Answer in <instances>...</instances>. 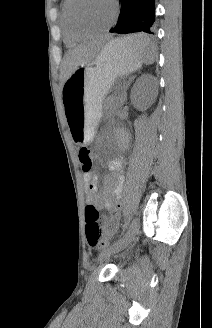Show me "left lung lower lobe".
Returning a JSON list of instances; mask_svg holds the SVG:
<instances>
[{
    "label": "left lung lower lobe",
    "mask_w": 212,
    "mask_h": 328,
    "mask_svg": "<svg viewBox=\"0 0 212 328\" xmlns=\"http://www.w3.org/2000/svg\"><path fill=\"white\" fill-rule=\"evenodd\" d=\"M121 11L118 22L110 32L126 34L133 32L151 33L150 28L155 21L154 0H120ZM150 39L145 37L142 40L130 44V48H148Z\"/></svg>",
    "instance_id": "0a47b994"
}]
</instances>
